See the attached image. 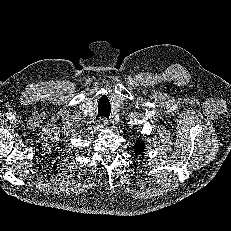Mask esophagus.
<instances>
[{
  "label": "esophagus",
  "instance_id": "34e87169",
  "mask_svg": "<svg viewBox=\"0 0 231 231\" xmlns=\"http://www.w3.org/2000/svg\"><path fill=\"white\" fill-rule=\"evenodd\" d=\"M108 124H109V121L106 117H101L98 120V127H100V128H105L108 126Z\"/></svg>",
  "mask_w": 231,
  "mask_h": 231
}]
</instances>
